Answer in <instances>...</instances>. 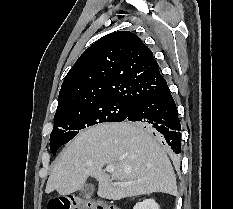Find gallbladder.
<instances>
[{
    "label": "gallbladder",
    "instance_id": "gallbladder-1",
    "mask_svg": "<svg viewBox=\"0 0 233 209\" xmlns=\"http://www.w3.org/2000/svg\"><path fill=\"white\" fill-rule=\"evenodd\" d=\"M93 193V186H85L81 190V194L84 195L85 197L91 196Z\"/></svg>",
    "mask_w": 233,
    "mask_h": 209
}]
</instances>
